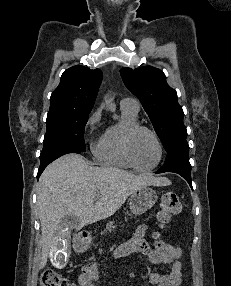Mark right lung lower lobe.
<instances>
[{
    "instance_id": "right-lung-lower-lobe-1",
    "label": "right lung lower lobe",
    "mask_w": 231,
    "mask_h": 286,
    "mask_svg": "<svg viewBox=\"0 0 231 286\" xmlns=\"http://www.w3.org/2000/svg\"><path fill=\"white\" fill-rule=\"evenodd\" d=\"M68 153H80L79 151L73 150V149H67V150H63V151H57L54 152L53 154L40 159V167L38 170V174H37V178H39V176L41 175V173L43 172V170L46 168V166L48 164H50L52 161H54L55 159L59 158L62 155L68 154Z\"/></svg>"
}]
</instances>
